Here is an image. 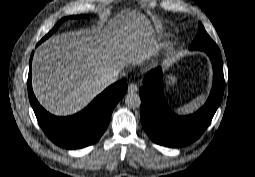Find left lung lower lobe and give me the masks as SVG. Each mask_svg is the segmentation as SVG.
<instances>
[{
  "instance_id": "1",
  "label": "left lung lower lobe",
  "mask_w": 255,
  "mask_h": 177,
  "mask_svg": "<svg viewBox=\"0 0 255 177\" xmlns=\"http://www.w3.org/2000/svg\"><path fill=\"white\" fill-rule=\"evenodd\" d=\"M214 70L210 97L203 108L190 116L174 114L165 99L161 68L150 71L140 89L141 122L148 136L157 144L180 147L195 141L209 125L224 90L223 66L219 49L204 50Z\"/></svg>"
}]
</instances>
